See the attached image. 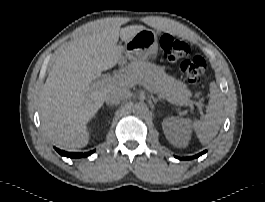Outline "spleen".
Here are the masks:
<instances>
[{
	"label": "spleen",
	"mask_w": 265,
	"mask_h": 202,
	"mask_svg": "<svg viewBox=\"0 0 265 202\" xmlns=\"http://www.w3.org/2000/svg\"><path fill=\"white\" fill-rule=\"evenodd\" d=\"M223 99L216 84H210V100L207 106L206 114L203 119L194 122L186 119L185 122L194 129L200 142L208 144L218 133L223 122Z\"/></svg>",
	"instance_id": "3e777b00"
}]
</instances>
